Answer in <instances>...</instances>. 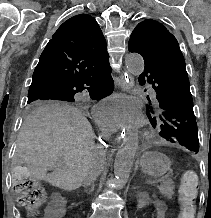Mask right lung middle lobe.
<instances>
[{"instance_id":"obj_1","label":"right lung middle lobe","mask_w":211,"mask_h":218,"mask_svg":"<svg viewBox=\"0 0 211 218\" xmlns=\"http://www.w3.org/2000/svg\"><path fill=\"white\" fill-rule=\"evenodd\" d=\"M96 100H100L101 98H92ZM29 110H39V109H47V108H55L67 105H78L82 107L87 106L86 101H82L74 96H47L41 99H33L27 102Z\"/></svg>"}]
</instances>
